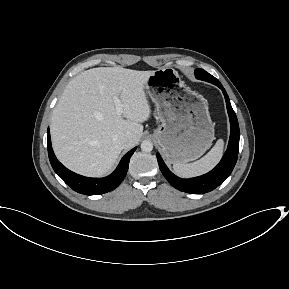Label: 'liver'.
I'll use <instances>...</instances> for the list:
<instances>
[{"label":"liver","mask_w":289,"mask_h":289,"mask_svg":"<svg viewBox=\"0 0 289 289\" xmlns=\"http://www.w3.org/2000/svg\"><path fill=\"white\" fill-rule=\"evenodd\" d=\"M153 73L120 66L99 67L73 78L52 113L50 131L57 158L85 176L111 172L121 151L134 147L141 139V123L151 112L145 83ZM114 97L124 105L120 115ZM123 136L128 138L124 148L117 143Z\"/></svg>","instance_id":"1"}]
</instances>
